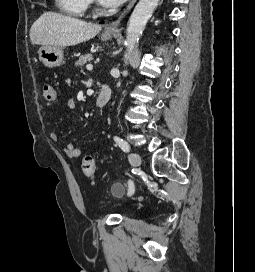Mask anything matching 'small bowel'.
Masks as SVG:
<instances>
[{"label":"small bowel","instance_id":"obj_1","mask_svg":"<svg viewBox=\"0 0 255 272\" xmlns=\"http://www.w3.org/2000/svg\"><path fill=\"white\" fill-rule=\"evenodd\" d=\"M67 106H68V109L71 111H74L76 109V104L74 101L68 102ZM50 139L52 141H58V139H59L58 133L52 132L50 134ZM64 152L67 155V157L70 159H76L82 154V150L73 143L65 144Z\"/></svg>","mask_w":255,"mask_h":272}]
</instances>
